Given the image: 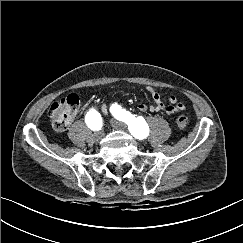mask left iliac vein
<instances>
[{
    "label": "left iliac vein",
    "mask_w": 243,
    "mask_h": 243,
    "mask_svg": "<svg viewBox=\"0 0 243 243\" xmlns=\"http://www.w3.org/2000/svg\"><path fill=\"white\" fill-rule=\"evenodd\" d=\"M111 126L116 130H125L126 124L116 119L111 120Z\"/></svg>",
    "instance_id": "4c4485c4"
}]
</instances>
